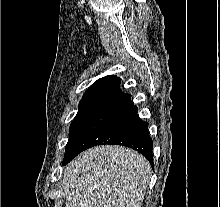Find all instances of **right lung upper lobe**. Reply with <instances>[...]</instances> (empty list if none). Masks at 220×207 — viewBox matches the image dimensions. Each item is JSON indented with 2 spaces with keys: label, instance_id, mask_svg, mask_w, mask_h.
I'll return each instance as SVG.
<instances>
[{
  "label": "right lung upper lobe",
  "instance_id": "obj_1",
  "mask_svg": "<svg viewBox=\"0 0 220 207\" xmlns=\"http://www.w3.org/2000/svg\"><path fill=\"white\" fill-rule=\"evenodd\" d=\"M112 77H114L113 75H110V76H105V77H103V78H100V79H98L97 81H95V83L93 84V85H98V84H103L106 80H108V79H110V78H112Z\"/></svg>",
  "mask_w": 220,
  "mask_h": 207
}]
</instances>
